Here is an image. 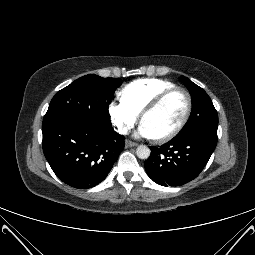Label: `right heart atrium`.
Listing matches in <instances>:
<instances>
[{"label": "right heart atrium", "mask_w": 255, "mask_h": 255, "mask_svg": "<svg viewBox=\"0 0 255 255\" xmlns=\"http://www.w3.org/2000/svg\"><path fill=\"white\" fill-rule=\"evenodd\" d=\"M111 121L120 134L129 133L136 125L139 114L123 100L112 101L108 106Z\"/></svg>", "instance_id": "obj_1"}]
</instances>
